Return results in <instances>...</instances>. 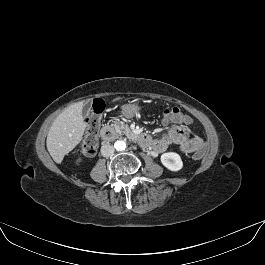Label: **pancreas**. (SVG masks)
Listing matches in <instances>:
<instances>
[{
    "label": "pancreas",
    "instance_id": "pancreas-1",
    "mask_svg": "<svg viewBox=\"0 0 265 265\" xmlns=\"http://www.w3.org/2000/svg\"><path fill=\"white\" fill-rule=\"evenodd\" d=\"M111 126L115 128L116 132L119 135H123V134L129 135L130 129H129L128 125H125L121 122H115Z\"/></svg>",
    "mask_w": 265,
    "mask_h": 265
}]
</instances>
